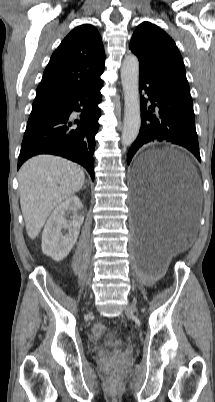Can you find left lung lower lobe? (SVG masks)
Masks as SVG:
<instances>
[{
    "mask_svg": "<svg viewBox=\"0 0 215 402\" xmlns=\"http://www.w3.org/2000/svg\"><path fill=\"white\" fill-rule=\"evenodd\" d=\"M139 91L147 94L149 99L144 96L140 99L141 128L129 149L127 163L130 164L142 145L154 141L183 146L201 161L192 101L177 95L166 85L144 73H139Z\"/></svg>",
    "mask_w": 215,
    "mask_h": 402,
    "instance_id": "left-lung-lower-lobe-1",
    "label": "left lung lower lobe"
}]
</instances>
